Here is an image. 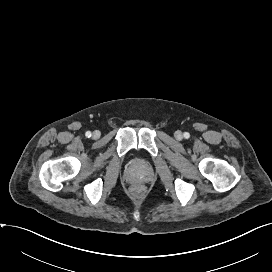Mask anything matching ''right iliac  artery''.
Wrapping results in <instances>:
<instances>
[{"instance_id": "right-iliac-artery-1", "label": "right iliac artery", "mask_w": 272, "mask_h": 272, "mask_svg": "<svg viewBox=\"0 0 272 272\" xmlns=\"http://www.w3.org/2000/svg\"><path fill=\"white\" fill-rule=\"evenodd\" d=\"M85 135H86V137H91V132L90 131H87L86 133H85Z\"/></svg>"}]
</instances>
